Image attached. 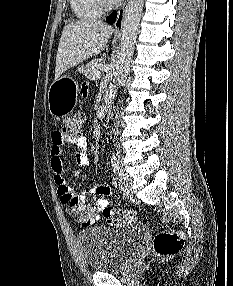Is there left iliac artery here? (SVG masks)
<instances>
[{"label":"left iliac artery","mask_w":233,"mask_h":286,"mask_svg":"<svg viewBox=\"0 0 233 286\" xmlns=\"http://www.w3.org/2000/svg\"><path fill=\"white\" fill-rule=\"evenodd\" d=\"M111 163H112V167H113L114 172L119 174V172H120L119 161H118V159L114 153H113L112 158H111Z\"/></svg>","instance_id":"left-iliac-artery-1"}]
</instances>
